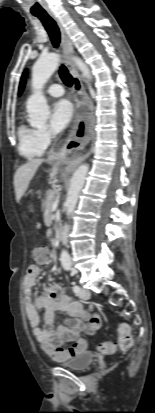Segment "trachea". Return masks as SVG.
Wrapping results in <instances>:
<instances>
[{
	"label": "trachea",
	"instance_id": "obj_1",
	"mask_svg": "<svg viewBox=\"0 0 155 413\" xmlns=\"http://www.w3.org/2000/svg\"><path fill=\"white\" fill-rule=\"evenodd\" d=\"M37 18L40 19V21L43 23L46 31L48 32L51 42L54 47H58L60 43V31L59 28L55 22V20L49 16L48 13H36L33 14ZM59 75L62 79V81L67 85V86H72L73 84V78L68 72L67 68L64 65H61L60 70H59Z\"/></svg>",
	"mask_w": 155,
	"mask_h": 413
}]
</instances>
